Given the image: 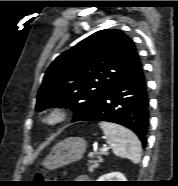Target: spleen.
I'll use <instances>...</instances> for the list:
<instances>
[{
  "label": "spleen",
  "instance_id": "3e777b00",
  "mask_svg": "<svg viewBox=\"0 0 178 186\" xmlns=\"http://www.w3.org/2000/svg\"><path fill=\"white\" fill-rule=\"evenodd\" d=\"M99 126L116 156L127 158L135 164L140 162L141 143L131 130L111 122H100Z\"/></svg>",
  "mask_w": 178,
  "mask_h": 186
}]
</instances>
